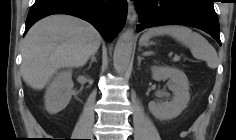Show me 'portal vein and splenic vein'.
<instances>
[{"instance_id":"portal-vein-and-splenic-vein-1","label":"portal vein and splenic vein","mask_w":236,"mask_h":140,"mask_svg":"<svg viewBox=\"0 0 236 140\" xmlns=\"http://www.w3.org/2000/svg\"><path fill=\"white\" fill-rule=\"evenodd\" d=\"M179 59H180V57L178 55H175L173 58L174 61H179Z\"/></svg>"}]
</instances>
